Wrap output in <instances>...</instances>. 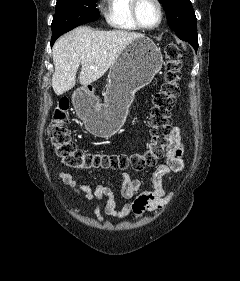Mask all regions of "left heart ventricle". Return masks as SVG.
Segmentation results:
<instances>
[{
    "label": "left heart ventricle",
    "instance_id": "1",
    "mask_svg": "<svg viewBox=\"0 0 240 281\" xmlns=\"http://www.w3.org/2000/svg\"><path fill=\"white\" fill-rule=\"evenodd\" d=\"M138 12L144 25L153 26L158 22L159 11L153 0H141Z\"/></svg>",
    "mask_w": 240,
    "mask_h": 281
}]
</instances>
